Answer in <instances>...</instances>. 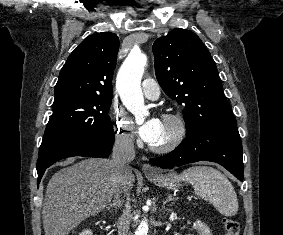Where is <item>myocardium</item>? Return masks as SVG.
I'll use <instances>...</instances> for the list:
<instances>
[{"mask_svg":"<svg viewBox=\"0 0 283 235\" xmlns=\"http://www.w3.org/2000/svg\"><path fill=\"white\" fill-rule=\"evenodd\" d=\"M163 121L173 125L174 132L166 143L162 145H149L151 151L159 154H165L176 149L187 136V123L179 114H164Z\"/></svg>","mask_w":283,"mask_h":235,"instance_id":"1","label":"myocardium"}]
</instances>
